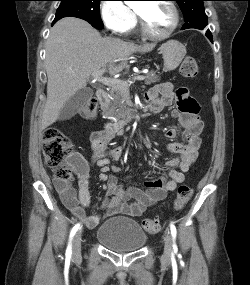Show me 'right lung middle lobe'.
I'll use <instances>...</instances> for the list:
<instances>
[{
    "label": "right lung middle lobe",
    "mask_w": 250,
    "mask_h": 285,
    "mask_svg": "<svg viewBox=\"0 0 250 285\" xmlns=\"http://www.w3.org/2000/svg\"><path fill=\"white\" fill-rule=\"evenodd\" d=\"M53 23L63 17H77L89 22L93 27L102 29L104 27L100 17L99 5L102 0H59Z\"/></svg>",
    "instance_id": "obj_1"
}]
</instances>
